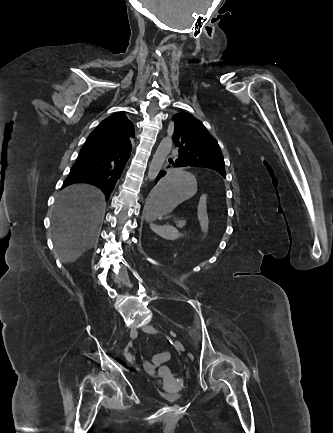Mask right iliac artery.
Here are the masks:
<instances>
[{"instance_id":"right-iliac-artery-1","label":"right iliac artery","mask_w":333,"mask_h":433,"mask_svg":"<svg viewBox=\"0 0 333 433\" xmlns=\"http://www.w3.org/2000/svg\"><path fill=\"white\" fill-rule=\"evenodd\" d=\"M132 341H130L129 343H128V345H127V347L124 349V356L127 358V355H128V349H129V347H131L132 346Z\"/></svg>"}]
</instances>
